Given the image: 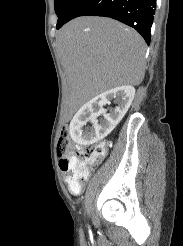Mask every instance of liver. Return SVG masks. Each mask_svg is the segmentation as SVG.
<instances>
[{
	"label": "liver",
	"mask_w": 183,
	"mask_h": 246,
	"mask_svg": "<svg viewBox=\"0 0 183 246\" xmlns=\"http://www.w3.org/2000/svg\"><path fill=\"white\" fill-rule=\"evenodd\" d=\"M71 101L84 104L110 89L138 86L145 75L146 44L132 28L105 17H79L56 37Z\"/></svg>",
	"instance_id": "6515ba94"
}]
</instances>
